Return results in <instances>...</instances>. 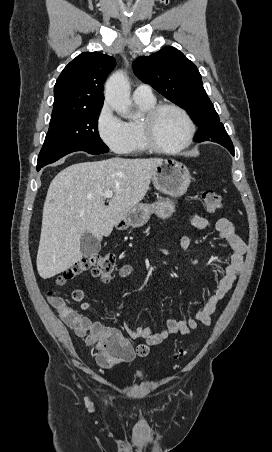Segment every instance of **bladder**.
<instances>
[{
    "label": "bladder",
    "mask_w": 272,
    "mask_h": 452,
    "mask_svg": "<svg viewBox=\"0 0 272 452\" xmlns=\"http://www.w3.org/2000/svg\"><path fill=\"white\" fill-rule=\"evenodd\" d=\"M138 375H139L140 377H143V376H144V372L140 371V372L138 373Z\"/></svg>",
    "instance_id": "obj_1"
}]
</instances>
